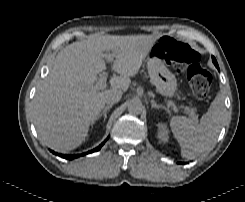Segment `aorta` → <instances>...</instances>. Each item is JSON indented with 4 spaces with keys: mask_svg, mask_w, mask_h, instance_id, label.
<instances>
[{
    "mask_svg": "<svg viewBox=\"0 0 245 202\" xmlns=\"http://www.w3.org/2000/svg\"><path fill=\"white\" fill-rule=\"evenodd\" d=\"M143 110V104L139 99H133L128 103V111L132 114H140Z\"/></svg>",
    "mask_w": 245,
    "mask_h": 202,
    "instance_id": "1",
    "label": "aorta"
}]
</instances>
